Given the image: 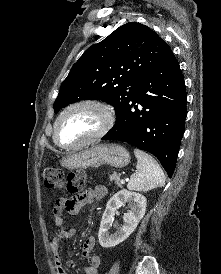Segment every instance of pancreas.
Listing matches in <instances>:
<instances>
[{
    "label": "pancreas",
    "mask_w": 221,
    "mask_h": 274,
    "mask_svg": "<svg viewBox=\"0 0 221 274\" xmlns=\"http://www.w3.org/2000/svg\"><path fill=\"white\" fill-rule=\"evenodd\" d=\"M109 179H110L111 182L114 181V183H115L117 186H119V187L122 186L121 183H120V176L117 175L116 173H113L112 175H110V176H109Z\"/></svg>",
    "instance_id": "1"
}]
</instances>
